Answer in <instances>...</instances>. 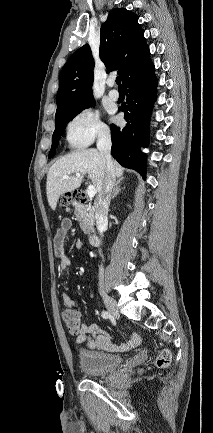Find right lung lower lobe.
Listing matches in <instances>:
<instances>
[{"label":"right lung lower lobe","instance_id":"obj_1","mask_svg":"<svg viewBox=\"0 0 213 433\" xmlns=\"http://www.w3.org/2000/svg\"><path fill=\"white\" fill-rule=\"evenodd\" d=\"M127 93L121 111L125 112L124 128L112 124V156L124 167L146 176V156L140 147L149 143V118L156 100L157 79L149 59L123 84Z\"/></svg>","mask_w":213,"mask_h":433}]
</instances>
